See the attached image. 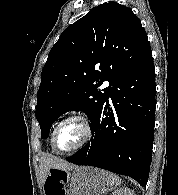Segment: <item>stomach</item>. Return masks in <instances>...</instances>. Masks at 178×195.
I'll return each mask as SVG.
<instances>
[{
  "instance_id": "1",
  "label": "stomach",
  "mask_w": 178,
  "mask_h": 195,
  "mask_svg": "<svg viewBox=\"0 0 178 195\" xmlns=\"http://www.w3.org/2000/svg\"><path fill=\"white\" fill-rule=\"evenodd\" d=\"M47 177L56 180L53 192L58 195H101L106 190L102 171L90 166L51 168Z\"/></svg>"
}]
</instances>
